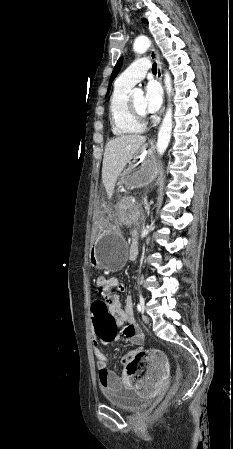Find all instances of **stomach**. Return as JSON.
I'll return each mask as SVG.
<instances>
[{
  "instance_id": "1",
  "label": "stomach",
  "mask_w": 233,
  "mask_h": 449,
  "mask_svg": "<svg viewBox=\"0 0 233 449\" xmlns=\"http://www.w3.org/2000/svg\"><path fill=\"white\" fill-rule=\"evenodd\" d=\"M147 146L140 149L144 152ZM157 165L149 157V151L141 160L140 157L130 163L118 182L119 187L137 188L147 186L157 174ZM101 210H112V201H101ZM116 212H95V221H99L97 238L92 242L91 263L95 268L110 271L120 270L126 259V242L121 233L116 230Z\"/></svg>"
}]
</instances>
